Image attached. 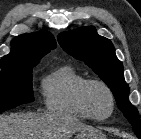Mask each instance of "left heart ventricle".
<instances>
[{
  "label": "left heart ventricle",
  "instance_id": "obj_1",
  "mask_svg": "<svg viewBox=\"0 0 141 139\" xmlns=\"http://www.w3.org/2000/svg\"><path fill=\"white\" fill-rule=\"evenodd\" d=\"M88 101L92 112L97 116H105L110 111V99L104 89L92 86L88 91Z\"/></svg>",
  "mask_w": 141,
  "mask_h": 139
}]
</instances>
